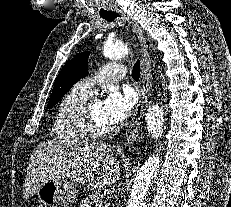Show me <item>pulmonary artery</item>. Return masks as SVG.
<instances>
[{
	"mask_svg": "<svg viewBox=\"0 0 231 207\" xmlns=\"http://www.w3.org/2000/svg\"><path fill=\"white\" fill-rule=\"evenodd\" d=\"M125 75L126 68L123 65L107 63L97 73L80 80L76 85L80 90L89 93L96 83L117 81Z\"/></svg>",
	"mask_w": 231,
	"mask_h": 207,
	"instance_id": "obj_1",
	"label": "pulmonary artery"
}]
</instances>
